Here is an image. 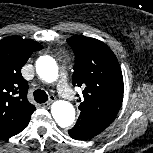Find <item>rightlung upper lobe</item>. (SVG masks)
<instances>
[{
  "label": "right lung upper lobe",
  "instance_id": "obj_1",
  "mask_svg": "<svg viewBox=\"0 0 153 153\" xmlns=\"http://www.w3.org/2000/svg\"><path fill=\"white\" fill-rule=\"evenodd\" d=\"M42 49L36 41L10 36L0 40V137L9 138L29 123L35 106L27 100L28 83L21 68Z\"/></svg>",
  "mask_w": 153,
  "mask_h": 153
}]
</instances>
